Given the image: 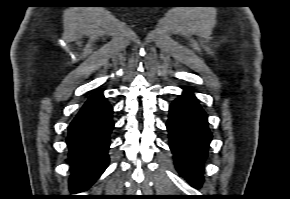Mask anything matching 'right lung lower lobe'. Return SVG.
Returning a JSON list of instances; mask_svg holds the SVG:
<instances>
[{"label": "right lung lower lobe", "instance_id": "obj_1", "mask_svg": "<svg viewBox=\"0 0 290 199\" xmlns=\"http://www.w3.org/2000/svg\"><path fill=\"white\" fill-rule=\"evenodd\" d=\"M113 109L102 93L91 95L69 126L67 144L73 193L88 189L109 163L110 132Z\"/></svg>", "mask_w": 290, "mask_h": 199}]
</instances>
